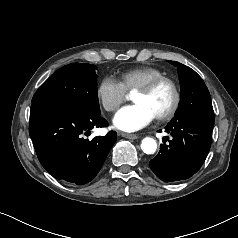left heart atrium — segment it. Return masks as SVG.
I'll return each mask as SVG.
<instances>
[{
    "label": "left heart atrium",
    "mask_w": 238,
    "mask_h": 238,
    "mask_svg": "<svg viewBox=\"0 0 238 238\" xmlns=\"http://www.w3.org/2000/svg\"><path fill=\"white\" fill-rule=\"evenodd\" d=\"M156 115L145 104L135 103L121 108L114 116V126L125 132L138 131L150 124Z\"/></svg>",
    "instance_id": "39dd6f15"
}]
</instances>
